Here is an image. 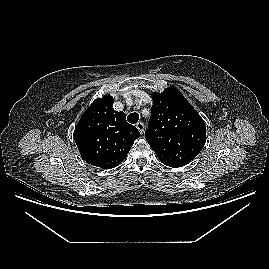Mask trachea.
I'll list each match as a JSON object with an SVG mask.
<instances>
[{
    "label": "trachea",
    "mask_w": 269,
    "mask_h": 269,
    "mask_svg": "<svg viewBox=\"0 0 269 269\" xmlns=\"http://www.w3.org/2000/svg\"><path fill=\"white\" fill-rule=\"evenodd\" d=\"M127 120H128L129 123L135 124L139 120V114L136 113V112L131 113V114L128 115Z\"/></svg>",
    "instance_id": "3493384b"
}]
</instances>
